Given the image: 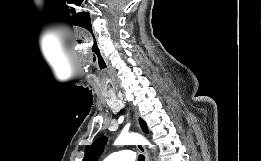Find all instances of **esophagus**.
Here are the masks:
<instances>
[{"instance_id":"esophagus-1","label":"esophagus","mask_w":261,"mask_h":161,"mask_svg":"<svg viewBox=\"0 0 261 161\" xmlns=\"http://www.w3.org/2000/svg\"><path fill=\"white\" fill-rule=\"evenodd\" d=\"M137 148H138V150H139L140 152H142V153L144 154L146 161H149V154H148V152H147L145 146H143V145H138Z\"/></svg>"}]
</instances>
